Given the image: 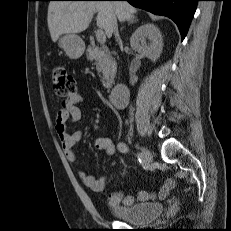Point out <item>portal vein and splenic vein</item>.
<instances>
[{"instance_id":"portal-vein-and-splenic-vein-1","label":"portal vein and splenic vein","mask_w":231,"mask_h":231,"mask_svg":"<svg viewBox=\"0 0 231 231\" xmlns=\"http://www.w3.org/2000/svg\"><path fill=\"white\" fill-rule=\"evenodd\" d=\"M96 38H97V41L101 44L105 43L106 41V36H105V33L102 29H98L96 31Z\"/></svg>"}]
</instances>
